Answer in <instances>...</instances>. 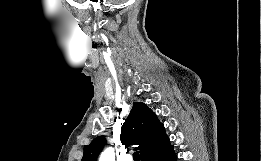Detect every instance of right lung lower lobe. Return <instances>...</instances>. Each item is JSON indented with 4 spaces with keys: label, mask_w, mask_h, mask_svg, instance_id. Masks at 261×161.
<instances>
[{
    "label": "right lung lower lobe",
    "mask_w": 261,
    "mask_h": 161,
    "mask_svg": "<svg viewBox=\"0 0 261 161\" xmlns=\"http://www.w3.org/2000/svg\"><path fill=\"white\" fill-rule=\"evenodd\" d=\"M177 157L173 151V145L166 143L163 147L147 155L141 161H176Z\"/></svg>",
    "instance_id": "1"
}]
</instances>
